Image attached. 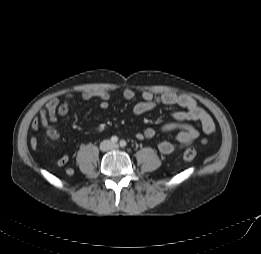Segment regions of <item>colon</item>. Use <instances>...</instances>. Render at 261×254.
<instances>
[{
	"instance_id": "1",
	"label": "colon",
	"mask_w": 261,
	"mask_h": 254,
	"mask_svg": "<svg viewBox=\"0 0 261 254\" xmlns=\"http://www.w3.org/2000/svg\"><path fill=\"white\" fill-rule=\"evenodd\" d=\"M197 152L193 148H188L185 150L183 157L186 161H193L196 158ZM70 173V171H68Z\"/></svg>"
}]
</instances>
